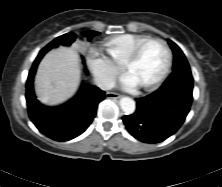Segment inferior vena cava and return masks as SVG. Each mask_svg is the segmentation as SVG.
Segmentation results:
<instances>
[{
    "instance_id": "inferior-vena-cava-1",
    "label": "inferior vena cava",
    "mask_w": 222,
    "mask_h": 187,
    "mask_svg": "<svg viewBox=\"0 0 222 187\" xmlns=\"http://www.w3.org/2000/svg\"><path fill=\"white\" fill-rule=\"evenodd\" d=\"M97 86L102 90H110L115 87V80L108 77L96 78Z\"/></svg>"
}]
</instances>
